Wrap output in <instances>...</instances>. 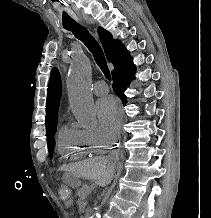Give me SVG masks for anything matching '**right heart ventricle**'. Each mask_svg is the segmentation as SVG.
I'll use <instances>...</instances> for the list:
<instances>
[{"label":"right heart ventricle","mask_w":211,"mask_h":218,"mask_svg":"<svg viewBox=\"0 0 211 218\" xmlns=\"http://www.w3.org/2000/svg\"><path fill=\"white\" fill-rule=\"evenodd\" d=\"M59 157H66V162H75L76 158L102 153L106 146H96L87 142L79 129L63 126L58 133Z\"/></svg>","instance_id":"1"}]
</instances>
